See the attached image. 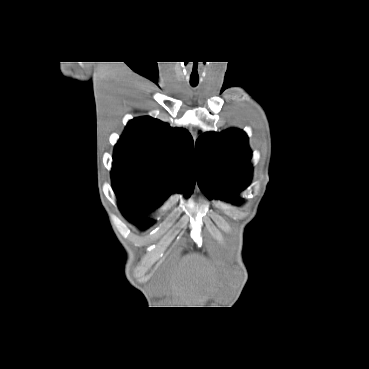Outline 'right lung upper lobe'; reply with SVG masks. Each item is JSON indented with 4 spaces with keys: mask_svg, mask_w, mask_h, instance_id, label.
Instances as JSON below:
<instances>
[{
    "mask_svg": "<svg viewBox=\"0 0 369 369\" xmlns=\"http://www.w3.org/2000/svg\"><path fill=\"white\" fill-rule=\"evenodd\" d=\"M193 145L186 129L149 116L135 118L115 145L111 177L163 199L173 192L189 196L195 185Z\"/></svg>",
    "mask_w": 369,
    "mask_h": 369,
    "instance_id": "1",
    "label": "right lung upper lobe"
}]
</instances>
